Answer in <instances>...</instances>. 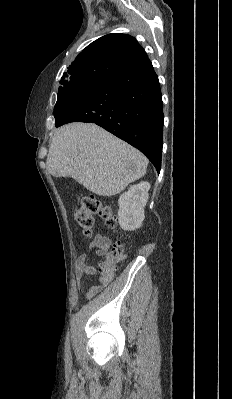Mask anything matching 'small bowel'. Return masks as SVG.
<instances>
[{
  "label": "small bowel",
  "mask_w": 232,
  "mask_h": 399,
  "mask_svg": "<svg viewBox=\"0 0 232 399\" xmlns=\"http://www.w3.org/2000/svg\"><path fill=\"white\" fill-rule=\"evenodd\" d=\"M108 247V243L92 242L89 245V252L80 254L74 270L76 286H80L81 281L85 276H90L94 274V268L87 263L90 253L93 252L96 256H101L107 251ZM93 292L94 289L92 286H89L86 289V295L88 297L92 296Z\"/></svg>",
  "instance_id": "small-bowel-1"
}]
</instances>
